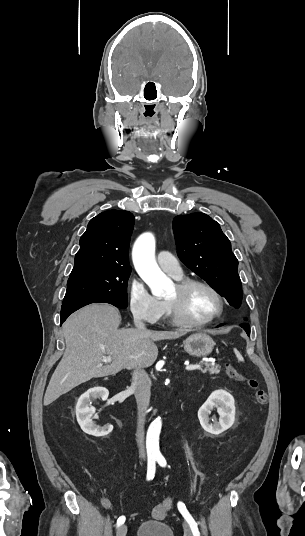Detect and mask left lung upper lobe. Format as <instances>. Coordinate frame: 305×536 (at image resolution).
Segmentation results:
<instances>
[{
    "label": "left lung upper lobe",
    "instance_id": "left-lung-upper-lobe-1",
    "mask_svg": "<svg viewBox=\"0 0 305 536\" xmlns=\"http://www.w3.org/2000/svg\"><path fill=\"white\" fill-rule=\"evenodd\" d=\"M173 230L180 260L238 308L242 300L238 260L220 225L204 213H192L176 216Z\"/></svg>",
    "mask_w": 305,
    "mask_h": 536
}]
</instances>
